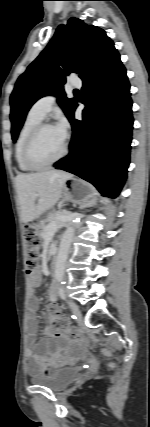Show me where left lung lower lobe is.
<instances>
[{
	"label": "left lung lower lobe",
	"mask_w": 150,
	"mask_h": 427,
	"mask_svg": "<svg viewBox=\"0 0 150 427\" xmlns=\"http://www.w3.org/2000/svg\"><path fill=\"white\" fill-rule=\"evenodd\" d=\"M126 69L114 48L85 79L83 119L69 116V154L54 167L92 183L103 196L116 197L127 176L132 140V100Z\"/></svg>",
	"instance_id": "0a47b994"
}]
</instances>
